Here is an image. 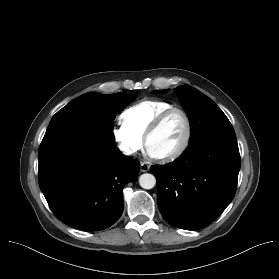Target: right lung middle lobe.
Returning a JSON list of instances; mask_svg holds the SVG:
<instances>
[{"label":"right lung middle lobe","instance_id":"1","mask_svg":"<svg viewBox=\"0 0 279 279\" xmlns=\"http://www.w3.org/2000/svg\"><path fill=\"white\" fill-rule=\"evenodd\" d=\"M135 99V94L86 93L53 116L45 135L66 129H82L106 142L114 143L112 126L116 113Z\"/></svg>","mask_w":279,"mask_h":279}]
</instances>
